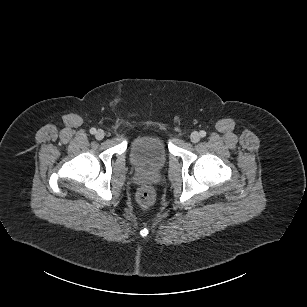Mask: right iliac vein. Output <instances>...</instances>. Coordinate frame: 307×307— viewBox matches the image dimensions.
<instances>
[{"instance_id":"obj_1","label":"right iliac vein","mask_w":307,"mask_h":307,"mask_svg":"<svg viewBox=\"0 0 307 307\" xmlns=\"http://www.w3.org/2000/svg\"><path fill=\"white\" fill-rule=\"evenodd\" d=\"M104 136H105V133L102 129H99L96 131V134H95L96 139L102 140Z\"/></svg>"}]
</instances>
